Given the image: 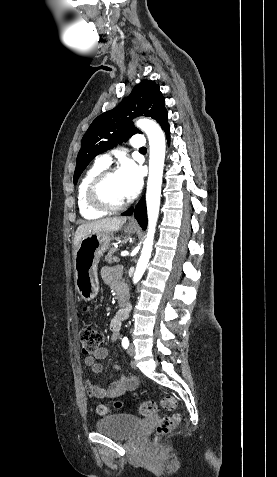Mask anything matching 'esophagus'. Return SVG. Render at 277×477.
I'll list each match as a JSON object with an SVG mask.
<instances>
[{
	"instance_id": "34e87169",
	"label": "esophagus",
	"mask_w": 277,
	"mask_h": 477,
	"mask_svg": "<svg viewBox=\"0 0 277 477\" xmlns=\"http://www.w3.org/2000/svg\"><path fill=\"white\" fill-rule=\"evenodd\" d=\"M130 223H131V224H136L135 219H131Z\"/></svg>"
}]
</instances>
